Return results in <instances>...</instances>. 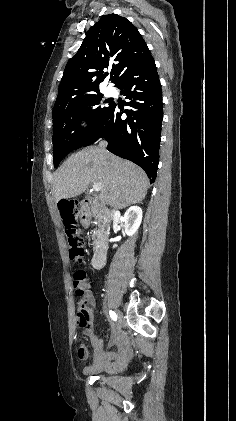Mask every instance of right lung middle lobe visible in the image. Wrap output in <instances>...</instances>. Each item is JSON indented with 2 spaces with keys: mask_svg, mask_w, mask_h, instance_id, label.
Instances as JSON below:
<instances>
[{
  "mask_svg": "<svg viewBox=\"0 0 236 421\" xmlns=\"http://www.w3.org/2000/svg\"><path fill=\"white\" fill-rule=\"evenodd\" d=\"M102 94H92L71 100L53 110V159L57 167L71 151L80 148L101 127L113 102L101 107ZM86 119L88 127L80 122Z\"/></svg>",
  "mask_w": 236,
  "mask_h": 421,
  "instance_id": "right-lung-middle-lobe-1",
  "label": "right lung middle lobe"
}]
</instances>
